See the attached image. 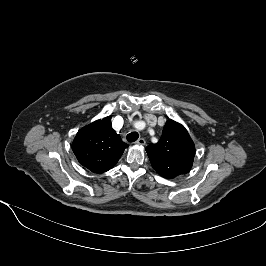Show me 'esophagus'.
I'll use <instances>...</instances> for the list:
<instances>
[{
	"label": "esophagus",
	"instance_id": "34e87169",
	"mask_svg": "<svg viewBox=\"0 0 266 266\" xmlns=\"http://www.w3.org/2000/svg\"><path fill=\"white\" fill-rule=\"evenodd\" d=\"M146 141L144 138H139L137 141H136V144L137 145H145Z\"/></svg>",
	"mask_w": 266,
	"mask_h": 266
}]
</instances>
